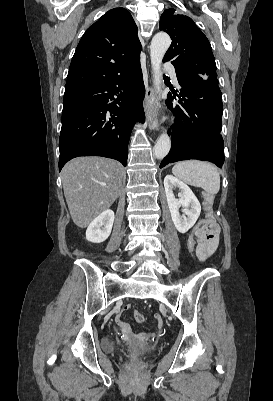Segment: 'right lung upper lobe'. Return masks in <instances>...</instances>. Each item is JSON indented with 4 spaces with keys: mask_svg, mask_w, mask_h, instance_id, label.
Returning <instances> with one entry per match:
<instances>
[{
    "mask_svg": "<svg viewBox=\"0 0 273 401\" xmlns=\"http://www.w3.org/2000/svg\"><path fill=\"white\" fill-rule=\"evenodd\" d=\"M137 26L124 8L106 12L82 36L72 58L64 98L99 86L140 60Z\"/></svg>",
    "mask_w": 273,
    "mask_h": 401,
    "instance_id": "1",
    "label": "right lung upper lobe"
}]
</instances>
